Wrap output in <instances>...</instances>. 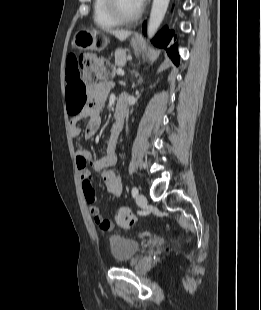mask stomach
Listing matches in <instances>:
<instances>
[{
	"label": "stomach",
	"mask_w": 261,
	"mask_h": 310,
	"mask_svg": "<svg viewBox=\"0 0 261 310\" xmlns=\"http://www.w3.org/2000/svg\"><path fill=\"white\" fill-rule=\"evenodd\" d=\"M73 43L80 50L101 51L106 47L108 39L99 31L83 29L75 34ZM131 45L134 49H139L140 47V44L134 40L131 42Z\"/></svg>",
	"instance_id": "stomach-1"
}]
</instances>
